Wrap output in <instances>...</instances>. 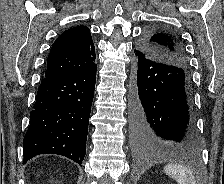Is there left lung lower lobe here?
<instances>
[{
    "instance_id": "1",
    "label": "left lung lower lobe",
    "mask_w": 224,
    "mask_h": 184,
    "mask_svg": "<svg viewBox=\"0 0 224 184\" xmlns=\"http://www.w3.org/2000/svg\"><path fill=\"white\" fill-rule=\"evenodd\" d=\"M133 141L143 154H196L200 149L194 129L187 70L149 59L134 50Z\"/></svg>"
}]
</instances>
